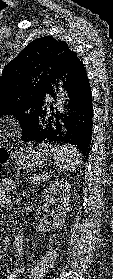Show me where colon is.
Returning a JSON list of instances; mask_svg holds the SVG:
<instances>
[{
    "mask_svg": "<svg viewBox=\"0 0 113 279\" xmlns=\"http://www.w3.org/2000/svg\"><path fill=\"white\" fill-rule=\"evenodd\" d=\"M7 159V152L3 149H0V163L4 162Z\"/></svg>",
    "mask_w": 113,
    "mask_h": 279,
    "instance_id": "colon-1",
    "label": "colon"
}]
</instances>
